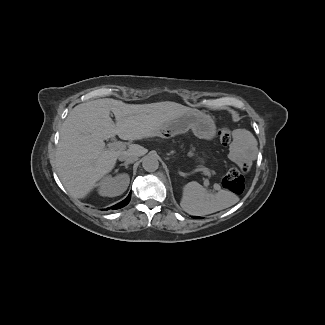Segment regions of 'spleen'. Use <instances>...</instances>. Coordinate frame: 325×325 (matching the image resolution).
Masks as SVG:
<instances>
[{"label": "spleen", "mask_w": 325, "mask_h": 325, "mask_svg": "<svg viewBox=\"0 0 325 325\" xmlns=\"http://www.w3.org/2000/svg\"><path fill=\"white\" fill-rule=\"evenodd\" d=\"M233 202L226 191L208 193L199 183L192 181L183 187L181 207L191 215L203 216L230 207Z\"/></svg>", "instance_id": "1"}]
</instances>
